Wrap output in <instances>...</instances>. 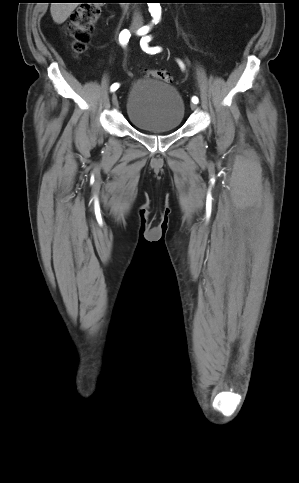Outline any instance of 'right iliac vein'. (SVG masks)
Returning a JSON list of instances; mask_svg holds the SVG:
<instances>
[{"mask_svg": "<svg viewBox=\"0 0 299 483\" xmlns=\"http://www.w3.org/2000/svg\"><path fill=\"white\" fill-rule=\"evenodd\" d=\"M112 103L114 106H118V97L116 93H113L112 95Z\"/></svg>", "mask_w": 299, "mask_h": 483, "instance_id": "63e3f726", "label": "right iliac vein"}]
</instances>
